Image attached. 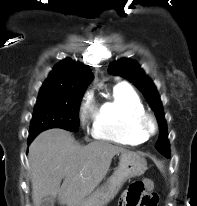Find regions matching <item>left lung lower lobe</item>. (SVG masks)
<instances>
[{
	"label": "left lung lower lobe",
	"mask_w": 197,
	"mask_h": 206,
	"mask_svg": "<svg viewBox=\"0 0 197 206\" xmlns=\"http://www.w3.org/2000/svg\"><path fill=\"white\" fill-rule=\"evenodd\" d=\"M165 156H166V157H169V156H170V154H169V153H167Z\"/></svg>",
	"instance_id": "1"
}]
</instances>
